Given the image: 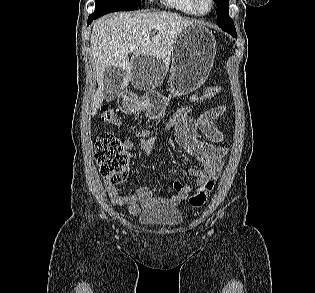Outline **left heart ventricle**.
<instances>
[{"label":"left heart ventricle","mask_w":315,"mask_h":293,"mask_svg":"<svg viewBox=\"0 0 315 293\" xmlns=\"http://www.w3.org/2000/svg\"><path fill=\"white\" fill-rule=\"evenodd\" d=\"M200 6L202 10L204 11L208 10L210 7L209 0H200Z\"/></svg>","instance_id":"obj_1"}]
</instances>
